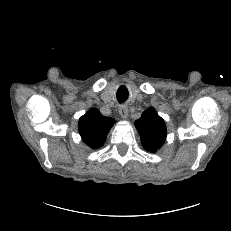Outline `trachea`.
I'll return each instance as SVG.
<instances>
[{"mask_svg": "<svg viewBox=\"0 0 231 231\" xmlns=\"http://www.w3.org/2000/svg\"><path fill=\"white\" fill-rule=\"evenodd\" d=\"M123 90L124 87H120L117 91V100L119 101V103L125 102L128 98V93H125Z\"/></svg>", "mask_w": 231, "mask_h": 231, "instance_id": "1", "label": "trachea"}]
</instances>
